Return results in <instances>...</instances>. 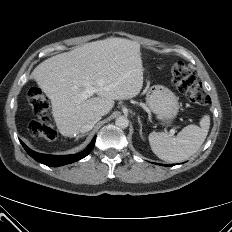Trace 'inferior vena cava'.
I'll list each match as a JSON object with an SVG mask.
<instances>
[{
	"label": "inferior vena cava",
	"instance_id": "1",
	"mask_svg": "<svg viewBox=\"0 0 232 232\" xmlns=\"http://www.w3.org/2000/svg\"><path fill=\"white\" fill-rule=\"evenodd\" d=\"M101 114H93L90 115L86 121V123L81 127L80 132L84 133L93 128L95 123H97L101 119Z\"/></svg>",
	"mask_w": 232,
	"mask_h": 232
}]
</instances>
